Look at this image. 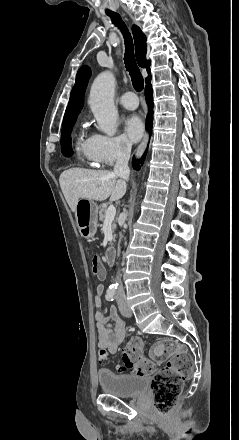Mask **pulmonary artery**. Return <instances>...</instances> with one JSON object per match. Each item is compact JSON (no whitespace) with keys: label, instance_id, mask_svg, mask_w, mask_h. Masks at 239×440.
Here are the masks:
<instances>
[{"label":"pulmonary artery","instance_id":"e3ab8cb5","mask_svg":"<svg viewBox=\"0 0 239 440\" xmlns=\"http://www.w3.org/2000/svg\"><path fill=\"white\" fill-rule=\"evenodd\" d=\"M134 96H135V93H133V92H127V93L123 94L119 98L120 105H122L124 108L129 109V110L136 109L138 107L139 103L131 100V98Z\"/></svg>","mask_w":239,"mask_h":440}]
</instances>
